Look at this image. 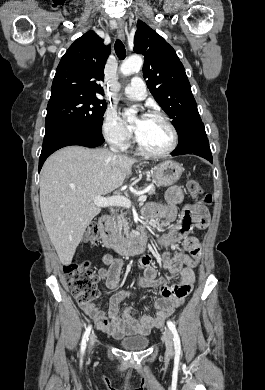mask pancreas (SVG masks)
I'll return each instance as SVG.
<instances>
[{
	"label": "pancreas",
	"mask_w": 265,
	"mask_h": 390,
	"mask_svg": "<svg viewBox=\"0 0 265 390\" xmlns=\"http://www.w3.org/2000/svg\"><path fill=\"white\" fill-rule=\"evenodd\" d=\"M148 194L149 195H153L155 194V187H151L148 191ZM119 211V210H117ZM116 211V212H117ZM121 213L120 214H117V213H113L111 215V218H112V222H111V225H112V228L114 231H116L119 235H129V226H128V221L125 217V212L123 211H120Z\"/></svg>",
	"instance_id": "cf45deb5"
}]
</instances>
